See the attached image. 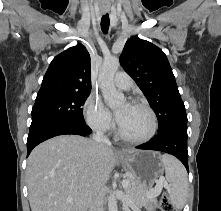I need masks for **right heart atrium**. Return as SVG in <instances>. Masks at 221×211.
I'll list each match as a JSON object with an SVG mask.
<instances>
[{
	"mask_svg": "<svg viewBox=\"0 0 221 211\" xmlns=\"http://www.w3.org/2000/svg\"><path fill=\"white\" fill-rule=\"evenodd\" d=\"M84 116L87 124L95 131L106 133L113 128V118L102 100L90 94L84 103Z\"/></svg>",
	"mask_w": 221,
	"mask_h": 211,
	"instance_id": "right-heart-atrium-1",
	"label": "right heart atrium"
}]
</instances>
